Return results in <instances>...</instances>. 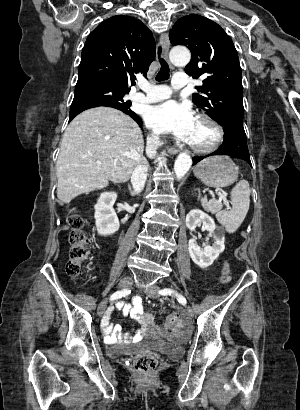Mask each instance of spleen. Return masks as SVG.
I'll return each instance as SVG.
<instances>
[{"label":"spleen","instance_id":"spleen-1","mask_svg":"<svg viewBox=\"0 0 300 410\" xmlns=\"http://www.w3.org/2000/svg\"><path fill=\"white\" fill-rule=\"evenodd\" d=\"M232 209L222 210V203L210 200L209 210L216 214L218 222L228 233H234L242 224L250 205V187L246 180L239 181L231 191Z\"/></svg>","mask_w":300,"mask_h":410}]
</instances>
